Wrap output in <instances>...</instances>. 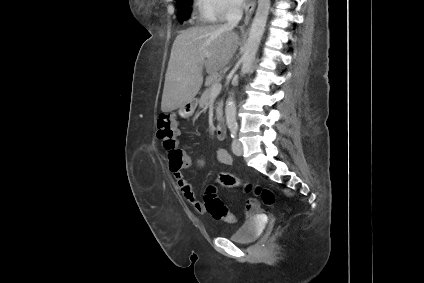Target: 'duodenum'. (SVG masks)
<instances>
[{
	"mask_svg": "<svg viewBox=\"0 0 424 283\" xmlns=\"http://www.w3.org/2000/svg\"><path fill=\"white\" fill-rule=\"evenodd\" d=\"M215 132H216V136L219 139H222L224 137V133H225V120L223 117H220L216 123V128H215Z\"/></svg>",
	"mask_w": 424,
	"mask_h": 283,
	"instance_id": "duodenum-1",
	"label": "duodenum"
}]
</instances>
